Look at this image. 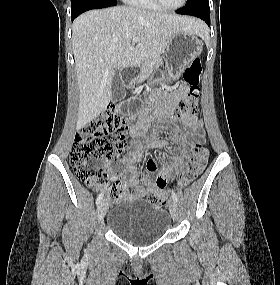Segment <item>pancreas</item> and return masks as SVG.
<instances>
[{
  "instance_id": "cf45deb5",
  "label": "pancreas",
  "mask_w": 280,
  "mask_h": 285,
  "mask_svg": "<svg viewBox=\"0 0 280 285\" xmlns=\"http://www.w3.org/2000/svg\"><path fill=\"white\" fill-rule=\"evenodd\" d=\"M162 63V60L160 58L153 59V60H145L141 67H140V74L135 79V83H141L146 78H148L153 71H155L160 64Z\"/></svg>"
}]
</instances>
